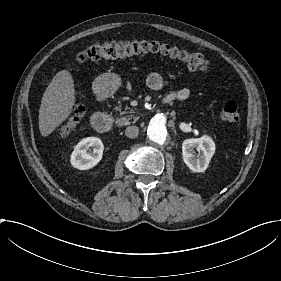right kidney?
<instances>
[{
  "mask_svg": "<svg viewBox=\"0 0 281 281\" xmlns=\"http://www.w3.org/2000/svg\"><path fill=\"white\" fill-rule=\"evenodd\" d=\"M93 148L92 153H88ZM104 145L97 137H87L82 139L74 147L70 155V164L74 169L90 170L97 166L102 160Z\"/></svg>",
  "mask_w": 281,
  "mask_h": 281,
  "instance_id": "right-kidney-1",
  "label": "right kidney"
}]
</instances>
